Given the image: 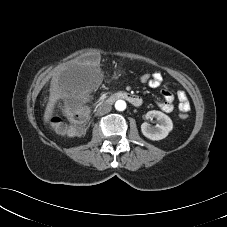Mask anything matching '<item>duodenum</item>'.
<instances>
[{"instance_id": "obj_1", "label": "duodenum", "mask_w": 227, "mask_h": 227, "mask_svg": "<svg viewBox=\"0 0 227 227\" xmlns=\"http://www.w3.org/2000/svg\"><path fill=\"white\" fill-rule=\"evenodd\" d=\"M123 99L132 104L135 107H139L142 105V98L138 95L126 92V91H117L111 94L106 100L105 103L112 104L116 100Z\"/></svg>"}]
</instances>
